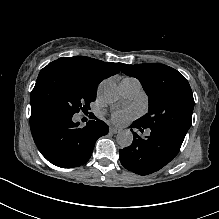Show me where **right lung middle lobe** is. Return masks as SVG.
Returning <instances> with one entry per match:
<instances>
[{
	"label": "right lung middle lobe",
	"mask_w": 219,
	"mask_h": 219,
	"mask_svg": "<svg viewBox=\"0 0 219 219\" xmlns=\"http://www.w3.org/2000/svg\"><path fill=\"white\" fill-rule=\"evenodd\" d=\"M95 89L81 74L61 65H47L38 75L30 103L52 105L74 115L90 109Z\"/></svg>",
	"instance_id": "dd1d6c3e"
}]
</instances>
